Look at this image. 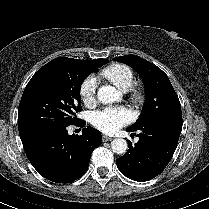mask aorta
I'll list each match as a JSON object with an SVG mask.
<instances>
[{
	"instance_id": "aorta-1",
	"label": "aorta",
	"mask_w": 209,
	"mask_h": 209,
	"mask_svg": "<svg viewBox=\"0 0 209 209\" xmlns=\"http://www.w3.org/2000/svg\"><path fill=\"white\" fill-rule=\"evenodd\" d=\"M120 97V93L112 86H102L97 92V98L104 104L113 103ZM111 148L116 154H124L128 149L125 139L116 138L111 142Z\"/></svg>"
}]
</instances>
